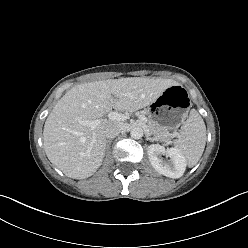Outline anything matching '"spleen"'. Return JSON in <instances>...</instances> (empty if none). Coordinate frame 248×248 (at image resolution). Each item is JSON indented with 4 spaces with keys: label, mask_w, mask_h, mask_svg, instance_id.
Wrapping results in <instances>:
<instances>
[{
    "label": "spleen",
    "mask_w": 248,
    "mask_h": 248,
    "mask_svg": "<svg viewBox=\"0 0 248 248\" xmlns=\"http://www.w3.org/2000/svg\"><path fill=\"white\" fill-rule=\"evenodd\" d=\"M175 148L184 156L189 167L197 164L206 144V126L200 114L192 109L188 119L181 126Z\"/></svg>",
    "instance_id": "obj_1"
}]
</instances>
